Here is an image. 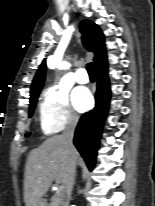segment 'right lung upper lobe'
Listing matches in <instances>:
<instances>
[{
    "instance_id": "1",
    "label": "right lung upper lobe",
    "mask_w": 155,
    "mask_h": 206,
    "mask_svg": "<svg viewBox=\"0 0 155 206\" xmlns=\"http://www.w3.org/2000/svg\"><path fill=\"white\" fill-rule=\"evenodd\" d=\"M80 30L83 34V43L85 48L95 54L94 62L97 68L107 63L104 36L98 25L89 20H83L80 23ZM46 73V62L43 61L39 66L33 79L30 98L40 93L43 87Z\"/></svg>"
}]
</instances>
